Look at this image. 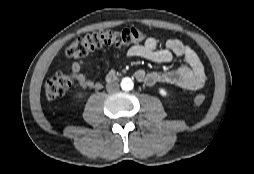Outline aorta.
I'll return each instance as SVG.
<instances>
[{"label": "aorta", "mask_w": 254, "mask_h": 174, "mask_svg": "<svg viewBox=\"0 0 254 174\" xmlns=\"http://www.w3.org/2000/svg\"><path fill=\"white\" fill-rule=\"evenodd\" d=\"M121 88L123 90H126V91H129L133 88V82L130 78H124L122 81H121Z\"/></svg>", "instance_id": "obj_1"}]
</instances>
